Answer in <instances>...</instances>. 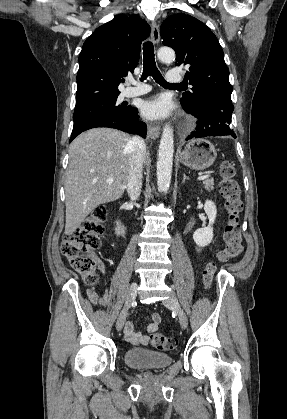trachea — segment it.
<instances>
[{"label":"trachea","instance_id":"3493384b","mask_svg":"<svg viewBox=\"0 0 287 419\" xmlns=\"http://www.w3.org/2000/svg\"><path fill=\"white\" fill-rule=\"evenodd\" d=\"M148 76H152L158 84L164 87L182 86L181 84H170L164 80L156 67L154 46L149 41L143 45V75L141 80L146 79Z\"/></svg>","mask_w":287,"mask_h":419}]
</instances>
